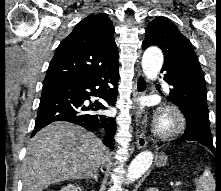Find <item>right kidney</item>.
Masks as SVG:
<instances>
[{
  "label": "right kidney",
  "instance_id": "right-kidney-1",
  "mask_svg": "<svg viewBox=\"0 0 221 191\" xmlns=\"http://www.w3.org/2000/svg\"><path fill=\"white\" fill-rule=\"evenodd\" d=\"M82 191L81 188L73 185V184H69L65 187H63L60 191Z\"/></svg>",
  "mask_w": 221,
  "mask_h": 191
}]
</instances>
